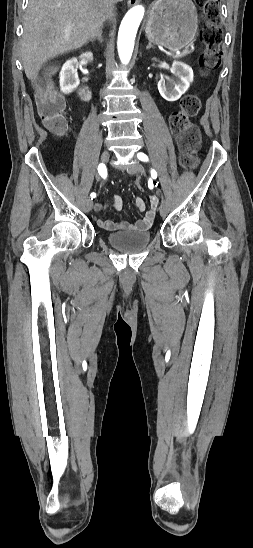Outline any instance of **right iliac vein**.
Segmentation results:
<instances>
[{"mask_svg": "<svg viewBox=\"0 0 253 548\" xmlns=\"http://www.w3.org/2000/svg\"><path fill=\"white\" fill-rule=\"evenodd\" d=\"M109 157H110V152H109V150H104L103 153H102V155H101V162H102V163H106V162L109 160ZM92 207H93V202H92V200L89 198V199H87V201H86V210H87V211H91Z\"/></svg>", "mask_w": 253, "mask_h": 548, "instance_id": "1", "label": "right iliac vein"}]
</instances>
